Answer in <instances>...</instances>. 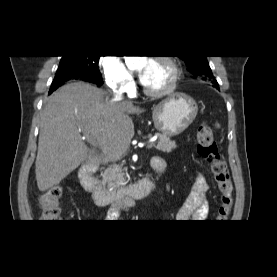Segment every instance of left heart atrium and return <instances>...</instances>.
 <instances>
[{
  "mask_svg": "<svg viewBox=\"0 0 277 277\" xmlns=\"http://www.w3.org/2000/svg\"><path fill=\"white\" fill-rule=\"evenodd\" d=\"M153 62H148L146 64V66L143 68V70L140 72V81L143 85H146L148 82V77H149V71H150V67L152 65Z\"/></svg>",
  "mask_w": 277,
  "mask_h": 277,
  "instance_id": "obj_1",
  "label": "left heart atrium"
}]
</instances>
